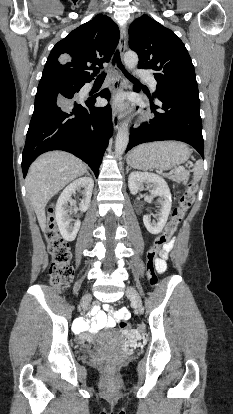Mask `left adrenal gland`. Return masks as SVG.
<instances>
[{"label":"left adrenal gland","mask_w":233,"mask_h":414,"mask_svg":"<svg viewBox=\"0 0 233 414\" xmlns=\"http://www.w3.org/2000/svg\"><path fill=\"white\" fill-rule=\"evenodd\" d=\"M130 170L129 166L126 167V173H128Z\"/></svg>","instance_id":"left-adrenal-gland-1"}]
</instances>
